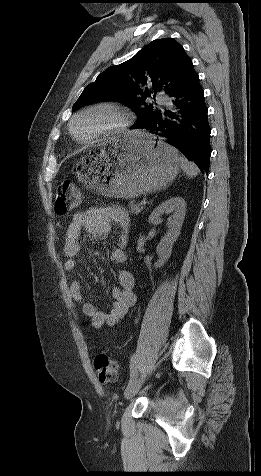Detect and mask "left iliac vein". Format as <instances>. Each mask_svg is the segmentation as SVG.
<instances>
[{
  "label": "left iliac vein",
  "instance_id": "left-iliac-vein-1",
  "mask_svg": "<svg viewBox=\"0 0 261 476\" xmlns=\"http://www.w3.org/2000/svg\"><path fill=\"white\" fill-rule=\"evenodd\" d=\"M144 381L143 375L137 377L130 385L127 386L124 396L127 400L132 399L140 390L142 383Z\"/></svg>",
  "mask_w": 261,
  "mask_h": 476
}]
</instances>
